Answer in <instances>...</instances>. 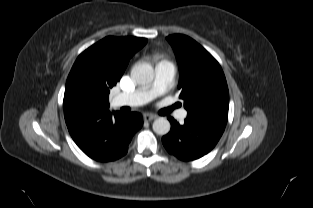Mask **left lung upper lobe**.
<instances>
[{"instance_id":"1","label":"left lung upper lobe","mask_w":313,"mask_h":208,"mask_svg":"<svg viewBox=\"0 0 313 208\" xmlns=\"http://www.w3.org/2000/svg\"><path fill=\"white\" fill-rule=\"evenodd\" d=\"M180 69L178 88L188 112L187 118L225 128L228 120L229 91L221 66L200 44L188 36L167 37Z\"/></svg>"}]
</instances>
